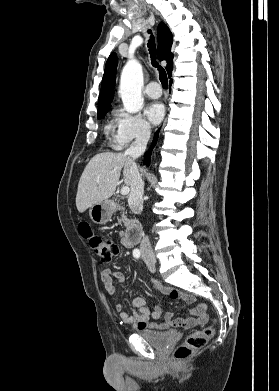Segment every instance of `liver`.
Returning <instances> with one entry per match:
<instances>
[{"label":"liver","mask_w":279,"mask_h":391,"mask_svg":"<svg viewBox=\"0 0 279 391\" xmlns=\"http://www.w3.org/2000/svg\"><path fill=\"white\" fill-rule=\"evenodd\" d=\"M131 159L121 153L95 155L86 165L78 184L76 206L80 213L110 198L116 190L121 171L124 183L131 185ZM99 180V182H97Z\"/></svg>","instance_id":"obj_1"}]
</instances>
